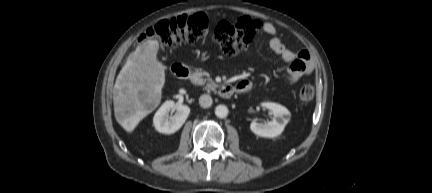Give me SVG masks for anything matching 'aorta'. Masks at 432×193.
<instances>
[{"label":"aorta","instance_id":"1","mask_svg":"<svg viewBox=\"0 0 432 193\" xmlns=\"http://www.w3.org/2000/svg\"><path fill=\"white\" fill-rule=\"evenodd\" d=\"M229 110L225 105H218L215 108V115L218 118H226L228 116Z\"/></svg>","mask_w":432,"mask_h":193}]
</instances>
